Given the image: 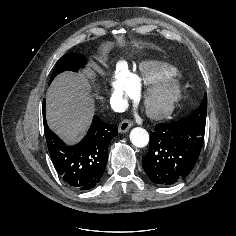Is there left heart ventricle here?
Here are the masks:
<instances>
[{"instance_id": "obj_1", "label": "left heart ventricle", "mask_w": 236, "mask_h": 236, "mask_svg": "<svg viewBox=\"0 0 236 236\" xmlns=\"http://www.w3.org/2000/svg\"><path fill=\"white\" fill-rule=\"evenodd\" d=\"M162 101H163V98L160 94H154L151 98L150 105L156 108L161 105Z\"/></svg>"}]
</instances>
